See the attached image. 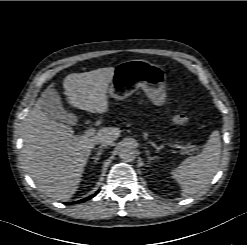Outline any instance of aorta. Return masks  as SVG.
<instances>
[{"mask_svg": "<svg viewBox=\"0 0 247 245\" xmlns=\"http://www.w3.org/2000/svg\"><path fill=\"white\" fill-rule=\"evenodd\" d=\"M119 157L124 162H132L136 157L135 148L130 144H124L119 150Z\"/></svg>", "mask_w": 247, "mask_h": 245, "instance_id": "1", "label": "aorta"}]
</instances>
